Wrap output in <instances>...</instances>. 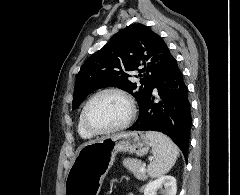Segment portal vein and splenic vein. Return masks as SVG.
<instances>
[{
	"mask_svg": "<svg viewBox=\"0 0 240 195\" xmlns=\"http://www.w3.org/2000/svg\"><path fill=\"white\" fill-rule=\"evenodd\" d=\"M140 171H145L144 165H143V167H140Z\"/></svg>",
	"mask_w": 240,
	"mask_h": 195,
	"instance_id": "18ae733b",
	"label": "portal vein and splenic vein"
}]
</instances>
